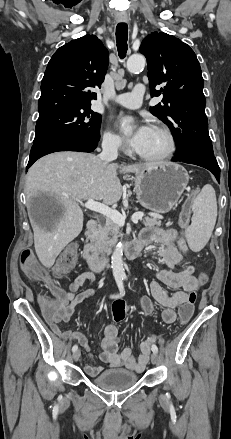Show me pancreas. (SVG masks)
<instances>
[{
  "label": "pancreas",
  "instance_id": "pancreas-1",
  "mask_svg": "<svg viewBox=\"0 0 231 439\" xmlns=\"http://www.w3.org/2000/svg\"><path fill=\"white\" fill-rule=\"evenodd\" d=\"M145 226H161V220L153 217H145L143 219ZM121 235L120 226L114 223L110 218L106 217L105 222L98 225L93 234L92 241L101 254L109 252L112 246L117 242Z\"/></svg>",
  "mask_w": 231,
  "mask_h": 439
}]
</instances>
